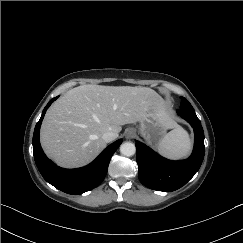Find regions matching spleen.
Listing matches in <instances>:
<instances>
[{
    "label": "spleen",
    "mask_w": 243,
    "mask_h": 243,
    "mask_svg": "<svg viewBox=\"0 0 243 243\" xmlns=\"http://www.w3.org/2000/svg\"><path fill=\"white\" fill-rule=\"evenodd\" d=\"M159 152L172 159L183 158L191 150V140L186 130L178 126L167 133L158 146Z\"/></svg>",
    "instance_id": "obj_1"
}]
</instances>
